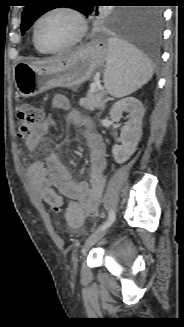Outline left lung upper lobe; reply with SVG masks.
I'll list each match as a JSON object with an SVG mask.
<instances>
[{"label": "left lung upper lobe", "mask_w": 184, "mask_h": 327, "mask_svg": "<svg viewBox=\"0 0 184 327\" xmlns=\"http://www.w3.org/2000/svg\"><path fill=\"white\" fill-rule=\"evenodd\" d=\"M74 8L83 13L86 17L94 18L99 26L126 28L138 17L137 9H112L107 12H100L98 6L88 4V1L77 0ZM56 1L52 0H30L22 13L21 33L24 34L33 22L48 10L53 9Z\"/></svg>", "instance_id": "left-lung-upper-lobe-1"}]
</instances>
